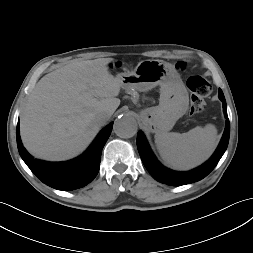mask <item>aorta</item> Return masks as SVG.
<instances>
[{
	"label": "aorta",
	"mask_w": 253,
	"mask_h": 253,
	"mask_svg": "<svg viewBox=\"0 0 253 253\" xmlns=\"http://www.w3.org/2000/svg\"><path fill=\"white\" fill-rule=\"evenodd\" d=\"M137 121L128 114L120 115L114 122L113 130L121 138H131L137 133Z\"/></svg>",
	"instance_id": "762f6f07"
}]
</instances>
